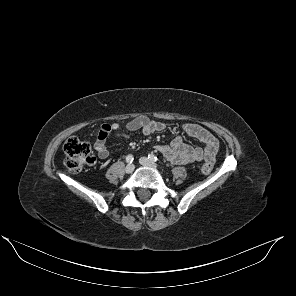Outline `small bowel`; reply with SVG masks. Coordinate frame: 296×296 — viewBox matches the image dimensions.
<instances>
[{"label": "small bowel", "mask_w": 296, "mask_h": 296, "mask_svg": "<svg viewBox=\"0 0 296 296\" xmlns=\"http://www.w3.org/2000/svg\"><path fill=\"white\" fill-rule=\"evenodd\" d=\"M165 125L162 122L151 119L148 116L135 117L125 124L118 123L101 125L95 142V149L98 157L102 160L108 158L109 150L107 140L110 135L118 137H128L129 133L141 131L145 135L164 130ZM183 132L189 136L199 140L204 147H192L184 143L182 136L177 135L170 144L158 145L155 149L161 153L168 161L186 165L202 160L213 161L219 148V142L215 136L204 127L187 123L183 126Z\"/></svg>", "instance_id": "small-bowel-1"}]
</instances>
